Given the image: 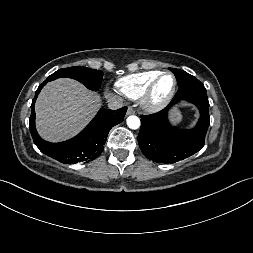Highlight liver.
I'll return each mask as SVG.
<instances>
[{
  "mask_svg": "<svg viewBox=\"0 0 253 253\" xmlns=\"http://www.w3.org/2000/svg\"><path fill=\"white\" fill-rule=\"evenodd\" d=\"M110 98V94H105ZM100 96L68 78L49 82L35 104L36 127L42 138L60 142L75 136L101 106Z\"/></svg>",
  "mask_w": 253,
  "mask_h": 253,
  "instance_id": "1",
  "label": "liver"
}]
</instances>
